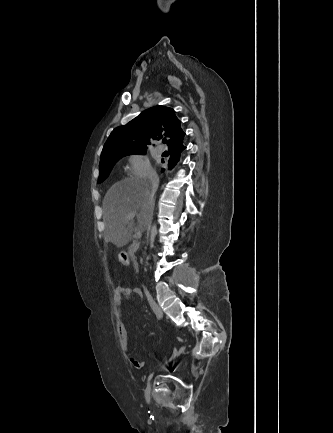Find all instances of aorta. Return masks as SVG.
<instances>
[{
    "label": "aorta",
    "instance_id": "obj_1",
    "mask_svg": "<svg viewBox=\"0 0 333 433\" xmlns=\"http://www.w3.org/2000/svg\"><path fill=\"white\" fill-rule=\"evenodd\" d=\"M157 235V224L153 223L150 229L149 244L152 249L154 246L155 237Z\"/></svg>",
    "mask_w": 333,
    "mask_h": 433
}]
</instances>
